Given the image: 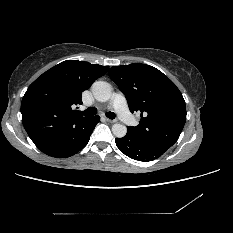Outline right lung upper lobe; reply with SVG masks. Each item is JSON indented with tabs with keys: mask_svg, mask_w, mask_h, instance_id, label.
I'll return each instance as SVG.
<instances>
[{
	"mask_svg": "<svg viewBox=\"0 0 233 233\" xmlns=\"http://www.w3.org/2000/svg\"><path fill=\"white\" fill-rule=\"evenodd\" d=\"M109 66L67 60L39 76L22 102V122L34 144L45 154L72 140L90 117L74 113L81 94L103 76Z\"/></svg>",
	"mask_w": 233,
	"mask_h": 233,
	"instance_id": "obj_1",
	"label": "right lung upper lobe"
}]
</instances>
